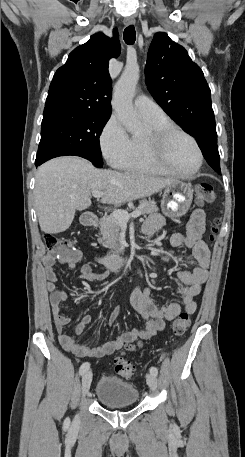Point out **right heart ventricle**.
Listing matches in <instances>:
<instances>
[{"instance_id": "right-heart-ventricle-1", "label": "right heart ventricle", "mask_w": 245, "mask_h": 457, "mask_svg": "<svg viewBox=\"0 0 245 457\" xmlns=\"http://www.w3.org/2000/svg\"><path fill=\"white\" fill-rule=\"evenodd\" d=\"M147 124L150 127L159 126V125H174L173 122L168 119L165 115H162L157 118L146 119ZM140 136H134L131 138V145L128 153L116 164L119 168L124 170H139V171H148L155 172L149 164L145 162L140 152Z\"/></svg>"}]
</instances>
